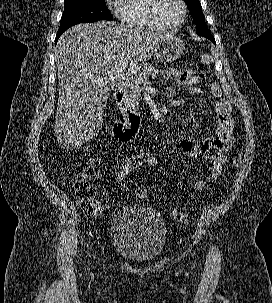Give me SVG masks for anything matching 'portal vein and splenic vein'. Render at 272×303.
Returning a JSON list of instances; mask_svg holds the SVG:
<instances>
[{
  "instance_id": "portal-vein-and-splenic-vein-1",
  "label": "portal vein and splenic vein",
  "mask_w": 272,
  "mask_h": 303,
  "mask_svg": "<svg viewBox=\"0 0 272 303\" xmlns=\"http://www.w3.org/2000/svg\"><path fill=\"white\" fill-rule=\"evenodd\" d=\"M115 80H117L119 82H121V81H128L129 82L130 81V79L127 76L119 74V73H114V74L110 75L109 81L114 82ZM95 82L101 83L102 80H95Z\"/></svg>"
}]
</instances>
